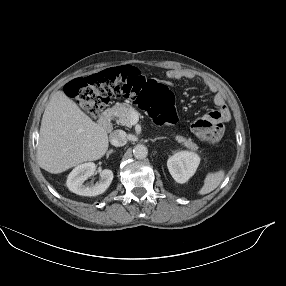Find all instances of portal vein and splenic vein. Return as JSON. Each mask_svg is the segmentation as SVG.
<instances>
[{"label": "portal vein and splenic vein", "mask_w": 286, "mask_h": 286, "mask_svg": "<svg viewBox=\"0 0 286 286\" xmlns=\"http://www.w3.org/2000/svg\"><path fill=\"white\" fill-rule=\"evenodd\" d=\"M131 123H132V125H134V124H136L137 122H138V120H139V115H138V113L136 112V111H134V112H132L131 113Z\"/></svg>", "instance_id": "1"}]
</instances>
